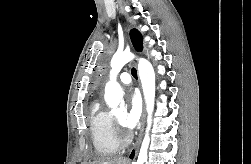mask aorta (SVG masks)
I'll use <instances>...</instances> for the list:
<instances>
[{
  "instance_id": "762f6f07",
  "label": "aorta",
  "mask_w": 251,
  "mask_h": 164,
  "mask_svg": "<svg viewBox=\"0 0 251 164\" xmlns=\"http://www.w3.org/2000/svg\"><path fill=\"white\" fill-rule=\"evenodd\" d=\"M134 58V54L129 51H124L122 53H115L111 59L110 80L105 86L104 95L106 103L111 108H116L118 106L124 105V92L117 82V76L123 66ZM138 74L142 84L148 116L145 137L140 148L138 159L133 164H144L148 158L147 151L150 142L149 131L152 124V113L154 110L155 102V72L152 64L144 58H139Z\"/></svg>"
}]
</instances>
